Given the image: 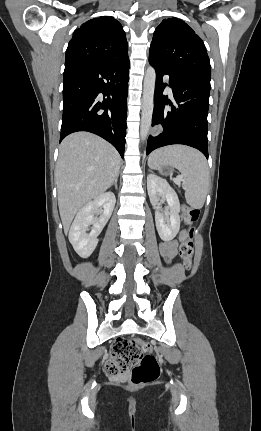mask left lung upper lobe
<instances>
[{
  "label": "left lung upper lobe",
  "mask_w": 261,
  "mask_h": 431,
  "mask_svg": "<svg viewBox=\"0 0 261 431\" xmlns=\"http://www.w3.org/2000/svg\"><path fill=\"white\" fill-rule=\"evenodd\" d=\"M149 57L183 72L211 79V66L201 38L181 19H164L156 28Z\"/></svg>",
  "instance_id": "1"
}]
</instances>
